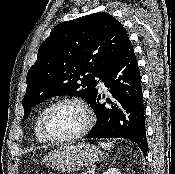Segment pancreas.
<instances>
[{
    "mask_svg": "<svg viewBox=\"0 0 175 174\" xmlns=\"http://www.w3.org/2000/svg\"><path fill=\"white\" fill-rule=\"evenodd\" d=\"M80 174H87L86 172H82V173H80Z\"/></svg>",
    "mask_w": 175,
    "mask_h": 174,
    "instance_id": "1",
    "label": "pancreas"
}]
</instances>
